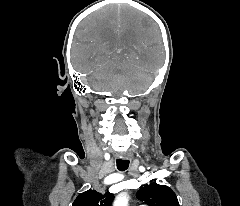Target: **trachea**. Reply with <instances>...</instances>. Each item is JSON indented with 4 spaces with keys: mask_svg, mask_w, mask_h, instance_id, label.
Instances as JSON below:
<instances>
[{
    "mask_svg": "<svg viewBox=\"0 0 240 206\" xmlns=\"http://www.w3.org/2000/svg\"><path fill=\"white\" fill-rule=\"evenodd\" d=\"M129 166V160H122L118 159L117 160V168L120 171H125Z\"/></svg>",
    "mask_w": 240,
    "mask_h": 206,
    "instance_id": "trachea-1",
    "label": "trachea"
}]
</instances>
